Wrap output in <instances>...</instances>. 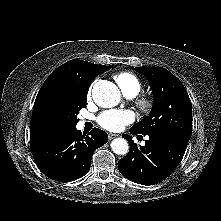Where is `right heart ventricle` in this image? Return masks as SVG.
Here are the masks:
<instances>
[{
	"label": "right heart ventricle",
	"instance_id": "obj_1",
	"mask_svg": "<svg viewBox=\"0 0 221 221\" xmlns=\"http://www.w3.org/2000/svg\"><path fill=\"white\" fill-rule=\"evenodd\" d=\"M115 81L125 95H136L141 89V82L131 72H120L114 76Z\"/></svg>",
	"mask_w": 221,
	"mask_h": 221
}]
</instances>
